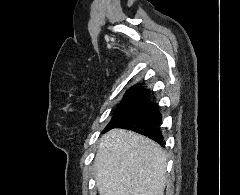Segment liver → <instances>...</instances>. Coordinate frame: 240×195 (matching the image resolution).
Listing matches in <instances>:
<instances>
[{
    "mask_svg": "<svg viewBox=\"0 0 240 195\" xmlns=\"http://www.w3.org/2000/svg\"><path fill=\"white\" fill-rule=\"evenodd\" d=\"M166 159L161 145L145 135L107 131L94 159L99 195H164Z\"/></svg>",
    "mask_w": 240,
    "mask_h": 195,
    "instance_id": "1",
    "label": "liver"
}]
</instances>
